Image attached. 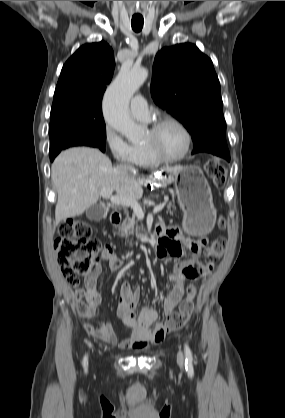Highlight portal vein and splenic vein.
I'll use <instances>...</instances> for the list:
<instances>
[{
    "label": "portal vein and splenic vein",
    "mask_w": 285,
    "mask_h": 418,
    "mask_svg": "<svg viewBox=\"0 0 285 418\" xmlns=\"http://www.w3.org/2000/svg\"><path fill=\"white\" fill-rule=\"evenodd\" d=\"M112 193H113L112 190L100 191V195L105 199H109L112 204L121 205L124 207H131L133 209L134 214L138 217V219L142 220L144 218V212L136 200L119 197L117 195L114 196ZM166 203H167V200L164 201L163 203H160L156 207H154L153 213L156 214L160 212L165 207Z\"/></svg>",
    "instance_id": "18ae733b"
}]
</instances>
